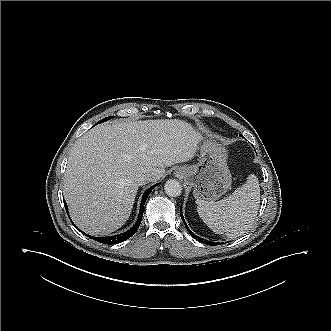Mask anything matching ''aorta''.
Instances as JSON below:
<instances>
[{
  "mask_svg": "<svg viewBox=\"0 0 331 331\" xmlns=\"http://www.w3.org/2000/svg\"><path fill=\"white\" fill-rule=\"evenodd\" d=\"M165 193L170 197H178L182 193V185L175 179L168 180L164 185Z\"/></svg>",
  "mask_w": 331,
  "mask_h": 331,
  "instance_id": "762f6f07",
  "label": "aorta"
}]
</instances>
